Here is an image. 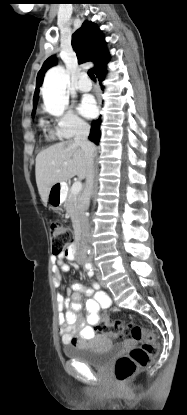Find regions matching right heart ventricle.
<instances>
[{
	"label": "right heart ventricle",
	"mask_w": 187,
	"mask_h": 415,
	"mask_svg": "<svg viewBox=\"0 0 187 415\" xmlns=\"http://www.w3.org/2000/svg\"><path fill=\"white\" fill-rule=\"evenodd\" d=\"M40 126H41L42 128H46V125H45V123H44L43 121H40ZM56 137H58V135H57V133H56V132H53V131H49V132H48V138H49L50 140H54Z\"/></svg>",
	"instance_id": "e07e8e85"
}]
</instances>
